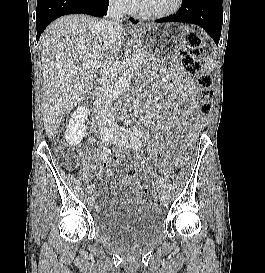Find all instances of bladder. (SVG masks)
<instances>
[{
    "label": "bladder",
    "instance_id": "31cf9c89",
    "mask_svg": "<svg viewBox=\"0 0 265 273\" xmlns=\"http://www.w3.org/2000/svg\"><path fill=\"white\" fill-rule=\"evenodd\" d=\"M98 231L107 238L134 247L164 230L162 211L155 204H128L96 219Z\"/></svg>",
    "mask_w": 265,
    "mask_h": 273
}]
</instances>
